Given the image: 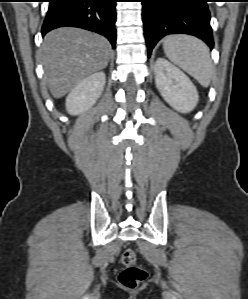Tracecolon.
Returning <instances> with one entry per match:
<instances>
[{
    "label": "colon",
    "mask_w": 248,
    "mask_h": 299,
    "mask_svg": "<svg viewBox=\"0 0 248 299\" xmlns=\"http://www.w3.org/2000/svg\"><path fill=\"white\" fill-rule=\"evenodd\" d=\"M123 269L119 273V283L126 288H137L147 276L146 270L138 264L133 249L126 248L121 254Z\"/></svg>",
    "instance_id": "colon-1"
}]
</instances>
